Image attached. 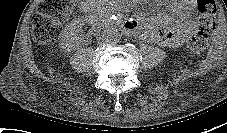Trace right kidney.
<instances>
[{
  "label": "right kidney",
  "instance_id": "obj_1",
  "mask_svg": "<svg viewBox=\"0 0 227 133\" xmlns=\"http://www.w3.org/2000/svg\"><path fill=\"white\" fill-rule=\"evenodd\" d=\"M83 24L84 20L82 19L72 20L69 23L67 29L65 30V36L63 37L60 44L63 48L67 46L70 47L71 42L74 43V40L77 39L78 33L81 30Z\"/></svg>",
  "mask_w": 227,
  "mask_h": 133
}]
</instances>
